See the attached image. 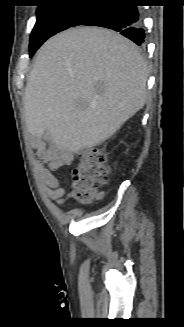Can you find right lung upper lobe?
I'll return each instance as SVG.
<instances>
[{
	"instance_id": "1",
	"label": "right lung upper lobe",
	"mask_w": 184,
	"mask_h": 327,
	"mask_svg": "<svg viewBox=\"0 0 184 327\" xmlns=\"http://www.w3.org/2000/svg\"><path fill=\"white\" fill-rule=\"evenodd\" d=\"M42 2H50V1H55V0H41ZM95 1V0H93Z\"/></svg>"
}]
</instances>
